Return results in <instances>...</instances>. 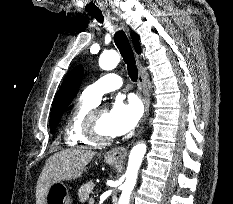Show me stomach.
I'll return each mask as SVG.
<instances>
[{
    "label": "stomach",
    "instance_id": "0dacf381",
    "mask_svg": "<svg viewBox=\"0 0 233 204\" xmlns=\"http://www.w3.org/2000/svg\"><path fill=\"white\" fill-rule=\"evenodd\" d=\"M105 162L111 166H115L119 163L118 160L109 157L105 158ZM69 202L70 193L65 184L57 182L49 187L45 198V204H69Z\"/></svg>",
    "mask_w": 233,
    "mask_h": 204
}]
</instances>
